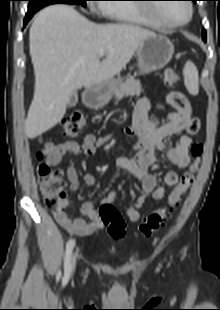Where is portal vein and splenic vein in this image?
I'll use <instances>...</instances> for the list:
<instances>
[{"mask_svg": "<svg viewBox=\"0 0 220 310\" xmlns=\"http://www.w3.org/2000/svg\"><path fill=\"white\" fill-rule=\"evenodd\" d=\"M104 54H105V51H104V50H100V52H99V56H100V57H103V56H104Z\"/></svg>", "mask_w": 220, "mask_h": 310, "instance_id": "18ae733b", "label": "portal vein and splenic vein"}]
</instances>
